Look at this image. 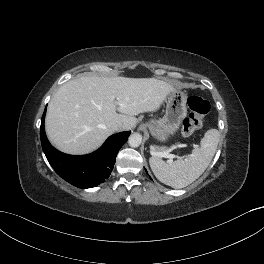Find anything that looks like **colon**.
<instances>
[{
	"label": "colon",
	"mask_w": 264,
	"mask_h": 264,
	"mask_svg": "<svg viewBox=\"0 0 264 264\" xmlns=\"http://www.w3.org/2000/svg\"><path fill=\"white\" fill-rule=\"evenodd\" d=\"M188 107L190 113L181 122L180 134L182 136H190L198 130L210 110L209 102L198 96L188 98Z\"/></svg>",
	"instance_id": "1"
}]
</instances>
